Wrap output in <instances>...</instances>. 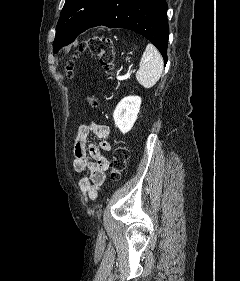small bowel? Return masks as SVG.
Segmentation results:
<instances>
[{"instance_id":"c3829d8e","label":"small bowel","mask_w":240,"mask_h":281,"mask_svg":"<svg viewBox=\"0 0 240 281\" xmlns=\"http://www.w3.org/2000/svg\"><path fill=\"white\" fill-rule=\"evenodd\" d=\"M99 138V144L89 143V136ZM110 129L107 125L91 121L77 128L74 138L73 169L84 172L79 180V187L87 200L95 201L105 181V172L109 167L108 159L102 152L111 151Z\"/></svg>"}]
</instances>
